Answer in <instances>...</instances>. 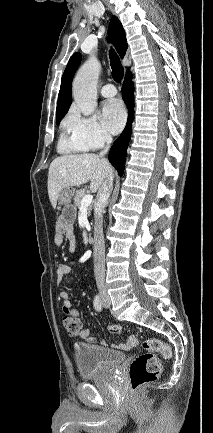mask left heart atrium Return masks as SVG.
I'll list each match as a JSON object with an SVG mask.
<instances>
[{
  "label": "left heart atrium",
  "mask_w": 213,
  "mask_h": 433,
  "mask_svg": "<svg viewBox=\"0 0 213 433\" xmlns=\"http://www.w3.org/2000/svg\"><path fill=\"white\" fill-rule=\"evenodd\" d=\"M126 121V112L119 100H110L105 103L102 110V123L111 133H119Z\"/></svg>",
  "instance_id": "1"
}]
</instances>
